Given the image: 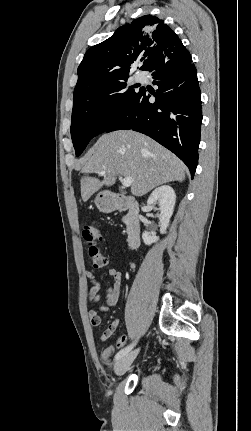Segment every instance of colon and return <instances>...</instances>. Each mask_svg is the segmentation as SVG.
I'll list each match as a JSON object with an SVG mask.
<instances>
[{
  "mask_svg": "<svg viewBox=\"0 0 251 431\" xmlns=\"http://www.w3.org/2000/svg\"><path fill=\"white\" fill-rule=\"evenodd\" d=\"M83 238L88 244V254L95 268H103L108 264L107 255L99 247V243L102 240L100 231L93 225H86L82 232ZM127 341L125 335L120 336L114 343V345H108V350L102 352V362L104 365H109L112 357L115 356V351L121 352L124 349V345Z\"/></svg>",
  "mask_w": 251,
  "mask_h": 431,
  "instance_id": "1",
  "label": "colon"
}]
</instances>
